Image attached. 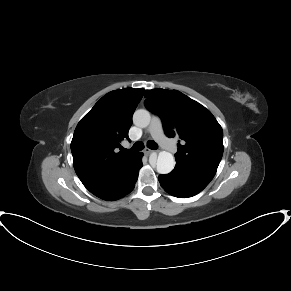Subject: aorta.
<instances>
[{
	"label": "aorta",
	"instance_id": "aorta-1",
	"mask_svg": "<svg viewBox=\"0 0 291 291\" xmlns=\"http://www.w3.org/2000/svg\"><path fill=\"white\" fill-rule=\"evenodd\" d=\"M150 113L145 109L136 110L133 115V122L136 126L145 128L150 124ZM175 166V159L173 155L167 151H161L158 154L156 163L157 172L160 174L170 173Z\"/></svg>",
	"mask_w": 291,
	"mask_h": 291
}]
</instances>
